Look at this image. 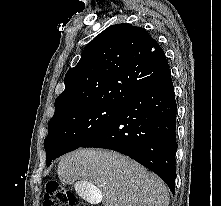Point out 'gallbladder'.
I'll use <instances>...</instances> for the list:
<instances>
[{
	"instance_id": "gallbladder-1",
	"label": "gallbladder",
	"mask_w": 221,
	"mask_h": 206,
	"mask_svg": "<svg viewBox=\"0 0 221 206\" xmlns=\"http://www.w3.org/2000/svg\"><path fill=\"white\" fill-rule=\"evenodd\" d=\"M78 194L84 198V202L89 205H100L103 198V193L97 189V185H89V181H76Z\"/></svg>"
}]
</instances>
